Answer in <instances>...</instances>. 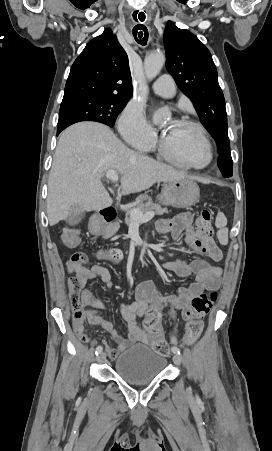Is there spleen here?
<instances>
[{
  "instance_id": "3e777b00",
  "label": "spleen",
  "mask_w": 272,
  "mask_h": 451,
  "mask_svg": "<svg viewBox=\"0 0 272 451\" xmlns=\"http://www.w3.org/2000/svg\"><path fill=\"white\" fill-rule=\"evenodd\" d=\"M215 226L219 227L217 231V237L220 243H222V245H227L228 243V227H226L227 218L226 216H224V214H222V212H219V214H217Z\"/></svg>"
}]
</instances>
